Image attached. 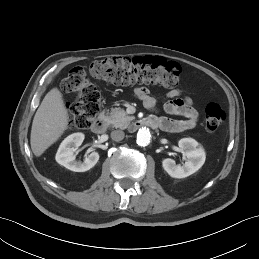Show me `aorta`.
<instances>
[{
    "label": "aorta",
    "instance_id": "aorta-1",
    "mask_svg": "<svg viewBox=\"0 0 259 259\" xmlns=\"http://www.w3.org/2000/svg\"><path fill=\"white\" fill-rule=\"evenodd\" d=\"M151 133L150 130L146 127H142L137 132V144L140 146H146L150 143Z\"/></svg>",
    "mask_w": 259,
    "mask_h": 259
}]
</instances>
